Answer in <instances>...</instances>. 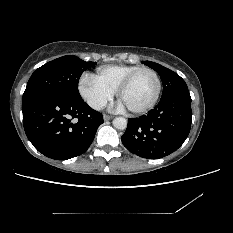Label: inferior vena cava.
Returning <instances> with one entry per match:
<instances>
[{"label": "inferior vena cava", "mask_w": 233, "mask_h": 233, "mask_svg": "<svg viewBox=\"0 0 233 233\" xmlns=\"http://www.w3.org/2000/svg\"><path fill=\"white\" fill-rule=\"evenodd\" d=\"M92 107L95 109V110H102L106 107V103L105 102H96L92 105Z\"/></svg>", "instance_id": "602c4592"}]
</instances>
